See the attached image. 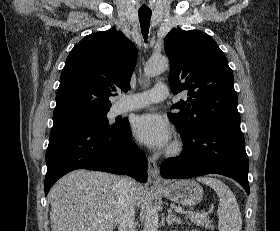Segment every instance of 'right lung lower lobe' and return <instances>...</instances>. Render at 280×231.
Returning a JSON list of instances; mask_svg holds the SVG:
<instances>
[{
  "instance_id": "98d812e1",
  "label": "right lung lower lobe",
  "mask_w": 280,
  "mask_h": 231,
  "mask_svg": "<svg viewBox=\"0 0 280 231\" xmlns=\"http://www.w3.org/2000/svg\"><path fill=\"white\" fill-rule=\"evenodd\" d=\"M45 196L70 171L88 169L147 181V159L131 137L129 123L101 131L82 125L53 126L46 152Z\"/></svg>"
}]
</instances>
